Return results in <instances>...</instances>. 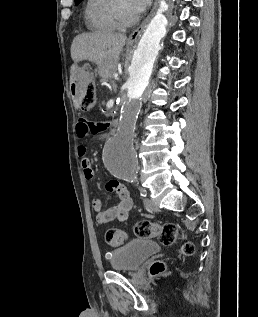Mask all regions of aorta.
<instances>
[{"instance_id":"obj_1","label":"aorta","mask_w":258,"mask_h":317,"mask_svg":"<svg viewBox=\"0 0 258 317\" xmlns=\"http://www.w3.org/2000/svg\"><path fill=\"white\" fill-rule=\"evenodd\" d=\"M168 9L165 0L160 1L158 11L151 20L129 66L127 99L122 105L116 134L105 145L103 162L117 178L132 180L138 171L137 154L133 147L136 121L142 107L141 96L149 83L153 65L161 49L160 41L166 35Z\"/></svg>"}]
</instances>
